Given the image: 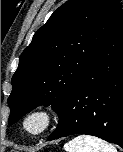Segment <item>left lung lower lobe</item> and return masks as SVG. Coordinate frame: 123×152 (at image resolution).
Listing matches in <instances>:
<instances>
[{"instance_id":"obj_1","label":"left lung lower lobe","mask_w":123,"mask_h":152,"mask_svg":"<svg viewBox=\"0 0 123 152\" xmlns=\"http://www.w3.org/2000/svg\"><path fill=\"white\" fill-rule=\"evenodd\" d=\"M74 134L123 148V10L67 96L48 141Z\"/></svg>"}]
</instances>
